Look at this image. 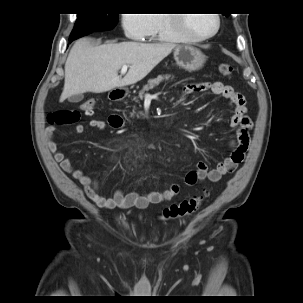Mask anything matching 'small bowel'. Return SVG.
Segmentation results:
<instances>
[{
	"label": "small bowel",
	"instance_id": "small-bowel-1",
	"mask_svg": "<svg viewBox=\"0 0 303 303\" xmlns=\"http://www.w3.org/2000/svg\"><path fill=\"white\" fill-rule=\"evenodd\" d=\"M211 91L215 95L222 96L229 100L234 107L235 113L231 118L230 125L236 129V137L233 140L234 149L230 156L219 163L217 167L210 169L207 162L198 161L196 169L187 173L185 177L186 184L195 185L197 182L208 180L217 183L224 175L233 173L237 167L243 162L245 153L249 145V134L252 128L251 119L245 115V99L243 95L236 92L230 85H224L221 82L207 83H191L184 87L185 93ZM113 127H119L117 122L112 123ZM88 127L98 131H106L108 129L107 122L100 119H91ZM75 131L83 133L85 127L81 124L75 126ZM55 128L47 127L45 130L47 145L52 153L55 161L67 173L71 174L82 186L86 195L94 201L99 207L105 209L114 208H137L145 209L151 204H160L170 201L180 193L179 184H171L169 188L163 191H150L144 194L137 192L124 193L122 190H116L111 196L101 194L98 184L81 170L76 169L59 150L56 141L53 139Z\"/></svg>",
	"mask_w": 303,
	"mask_h": 303
}]
</instances>
